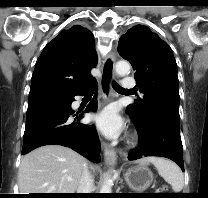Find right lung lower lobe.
I'll list each match as a JSON object with an SVG mask.
<instances>
[{"label":"right lung lower lobe","mask_w":208,"mask_h":198,"mask_svg":"<svg viewBox=\"0 0 208 198\" xmlns=\"http://www.w3.org/2000/svg\"><path fill=\"white\" fill-rule=\"evenodd\" d=\"M90 86L97 87L96 79L68 99L28 107L21 154L25 155L40 146L56 144L70 147L91 161L99 162L101 147L95 127L80 123L83 118L81 110L75 112L71 109L74 96L84 95ZM96 108L94 98L84 112L95 111Z\"/></svg>","instance_id":"obj_1"}]
</instances>
